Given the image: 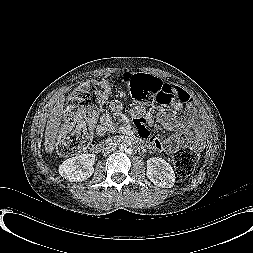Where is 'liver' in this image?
Instances as JSON below:
<instances>
[{
    "label": "liver",
    "instance_id": "1",
    "mask_svg": "<svg viewBox=\"0 0 253 253\" xmlns=\"http://www.w3.org/2000/svg\"><path fill=\"white\" fill-rule=\"evenodd\" d=\"M64 102L65 97L63 95L56 98L46 124L44 146L45 151L50 154L55 149L58 133L60 132Z\"/></svg>",
    "mask_w": 253,
    "mask_h": 253
}]
</instances>
